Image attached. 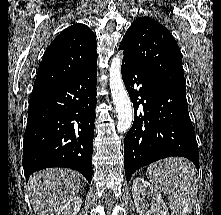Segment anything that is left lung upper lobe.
Returning a JSON list of instances; mask_svg holds the SVG:
<instances>
[{"label":"left lung upper lobe","instance_id":"5c2ea615","mask_svg":"<svg viewBox=\"0 0 221 215\" xmlns=\"http://www.w3.org/2000/svg\"><path fill=\"white\" fill-rule=\"evenodd\" d=\"M119 49L138 69L181 90H186L182 55L171 33L159 22L141 17L125 33Z\"/></svg>","mask_w":221,"mask_h":215}]
</instances>
